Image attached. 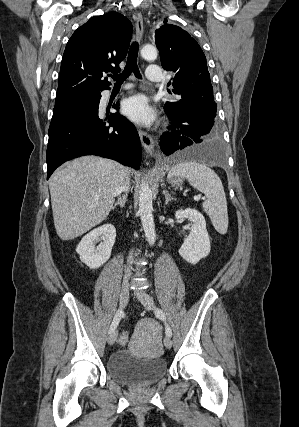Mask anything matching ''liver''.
<instances>
[{
	"label": "liver",
	"mask_w": 299,
	"mask_h": 427,
	"mask_svg": "<svg viewBox=\"0 0 299 427\" xmlns=\"http://www.w3.org/2000/svg\"><path fill=\"white\" fill-rule=\"evenodd\" d=\"M129 178L120 163L83 156L54 172L49 180L54 226L62 240H72L108 216Z\"/></svg>",
	"instance_id": "1"
}]
</instances>
